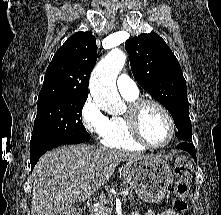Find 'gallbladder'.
<instances>
[{
  "instance_id": "gallbladder-1",
  "label": "gallbladder",
  "mask_w": 221,
  "mask_h": 215,
  "mask_svg": "<svg viewBox=\"0 0 221 215\" xmlns=\"http://www.w3.org/2000/svg\"><path fill=\"white\" fill-rule=\"evenodd\" d=\"M65 215H82L81 210L76 205H71L69 209L67 210V214Z\"/></svg>"
}]
</instances>
